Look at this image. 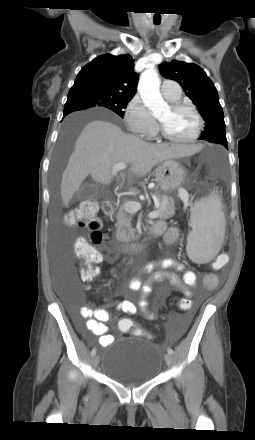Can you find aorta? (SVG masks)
I'll list each match as a JSON object with an SVG mask.
<instances>
[{"mask_svg": "<svg viewBox=\"0 0 255 440\" xmlns=\"http://www.w3.org/2000/svg\"><path fill=\"white\" fill-rule=\"evenodd\" d=\"M160 79L155 68L146 69L140 76L138 91L144 105L153 113L160 115L168 110V104L160 94Z\"/></svg>", "mask_w": 255, "mask_h": 440, "instance_id": "762f6f07", "label": "aorta"}]
</instances>
